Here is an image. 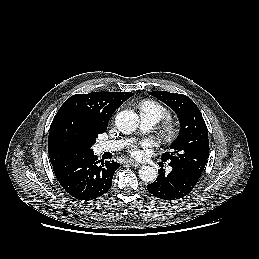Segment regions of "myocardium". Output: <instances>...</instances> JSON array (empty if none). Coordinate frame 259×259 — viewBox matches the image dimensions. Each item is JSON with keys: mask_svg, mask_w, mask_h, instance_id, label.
I'll return each mask as SVG.
<instances>
[{"mask_svg": "<svg viewBox=\"0 0 259 259\" xmlns=\"http://www.w3.org/2000/svg\"><path fill=\"white\" fill-rule=\"evenodd\" d=\"M180 135V128L177 123L173 121H166L161 129V137L166 144H172Z\"/></svg>", "mask_w": 259, "mask_h": 259, "instance_id": "obj_1", "label": "myocardium"}]
</instances>
